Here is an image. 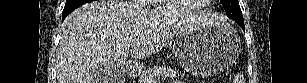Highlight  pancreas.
Returning a JSON list of instances; mask_svg holds the SVG:
<instances>
[{
	"label": "pancreas",
	"mask_w": 307,
	"mask_h": 83,
	"mask_svg": "<svg viewBox=\"0 0 307 83\" xmlns=\"http://www.w3.org/2000/svg\"><path fill=\"white\" fill-rule=\"evenodd\" d=\"M175 78L177 77V72L171 68H166L164 66H155L152 69H148L140 75L139 83H146L148 78Z\"/></svg>",
	"instance_id": "pancreas-1"
}]
</instances>
